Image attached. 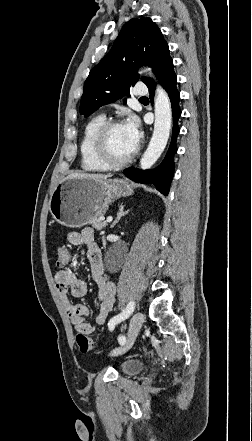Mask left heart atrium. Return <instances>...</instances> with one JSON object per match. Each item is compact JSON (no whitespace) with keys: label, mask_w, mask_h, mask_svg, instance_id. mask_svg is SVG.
I'll use <instances>...</instances> for the list:
<instances>
[{"label":"left heart atrium","mask_w":252,"mask_h":441,"mask_svg":"<svg viewBox=\"0 0 252 441\" xmlns=\"http://www.w3.org/2000/svg\"><path fill=\"white\" fill-rule=\"evenodd\" d=\"M123 126L126 131L129 145L132 148V150H135L140 142V139H141V132H140V128H139V123L135 117H130L123 124Z\"/></svg>","instance_id":"1"}]
</instances>
